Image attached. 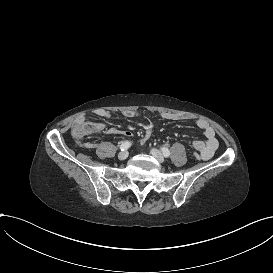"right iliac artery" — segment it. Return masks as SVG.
<instances>
[{
    "label": "right iliac artery",
    "mask_w": 273,
    "mask_h": 273,
    "mask_svg": "<svg viewBox=\"0 0 273 273\" xmlns=\"http://www.w3.org/2000/svg\"><path fill=\"white\" fill-rule=\"evenodd\" d=\"M131 146V142L125 141L121 144L120 149L121 151H126Z\"/></svg>",
    "instance_id": "1"
}]
</instances>
